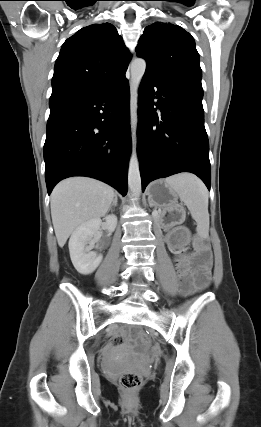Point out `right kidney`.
<instances>
[{
	"label": "right kidney",
	"instance_id": "right-kidney-1",
	"mask_svg": "<svg viewBox=\"0 0 261 427\" xmlns=\"http://www.w3.org/2000/svg\"><path fill=\"white\" fill-rule=\"evenodd\" d=\"M104 219L108 232H113L117 226V217L107 215ZM101 225L102 220L100 218L93 219L78 226L71 235L69 240L70 257L74 267L81 274L88 275L94 272L103 259L102 255L91 251L87 246L92 238H100Z\"/></svg>",
	"mask_w": 261,
	"mask_h": 427
}]
</instances>
